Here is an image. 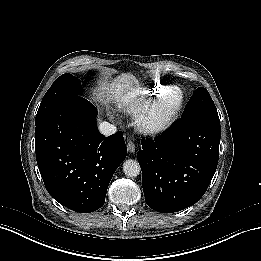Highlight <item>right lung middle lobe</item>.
<instances>
[{
    "mask_svg": "<svg viewBox=\"0 0 261 261\" xmlns=\"http://www.w3.org/2000/svg\"><path fill=\"white\" fill-rule=\"evenodd\" d=\"M82 90L81 82L72 74H63L57 78L48 89L39 106L36 119L39 120L45 113L70 96L78 95Z\"/></svg>",
    "mask_w": 261,
    "mask_h": 261,
    "instance_id": "dd1d6c3e",
    "label": "right lung middle lobe"
}]
</instances>
